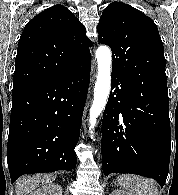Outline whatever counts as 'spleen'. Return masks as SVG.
Returning <instances> with one entry per match:
<instances>
[{
  "mask_svg": "<svg viewBox=\"0 0 178 195\" xmlns=\"http://www.w3.org/2000/svg\"><path fill=\"white\" fill-rule=\"evenodd\" d=\"M117 183L130 191L131 195H158L157 184L152 179L123 174L118 176Z\"/></svg>",
  "mask_w": 178,
  "mask_h": 195,
  "instance_id": "3e777b00",
  "label": "spleen"
}]
</instances>
